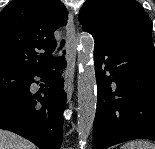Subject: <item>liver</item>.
<instances>
[{
	"label": "liver",
	"mask_w": 155,
	"mask_h": 149,
	"mask_svg": "<svg viewBox=\"0 0 155 149\" xmlns=\"http://www.w3.org/2000/svg\"><path fill=\"white\" fill-rule=\"evenodd\" d=\"M0 149H35V145L19 135L0 129Z\"/></svg>",
	"instance_id": "liver-1"
}]
</instances>
